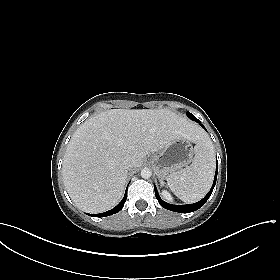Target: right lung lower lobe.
<instances>
[{
  "instance_id": "right-lung-lower-lobe-1",
  "label": "right lung lower lobe",
  "mask_w": 280,
  "mask_h": 280,
  "mask_svg": "<svg viewBox=\"0 0 280 280\" xmlns=\"http://www.w3.org/2000/svg\"><path fill=\"white\" fill-rule=\"evenodd\" d=\"M126 199H127V190H126V193H125L124 198L122 199V201L116 207H114L113 209H111V210H109L107 212H104V213L97 214V215H94V214H88V215L95 216V217H106V216H110L112 214H115V213L119 212L123 208Z\"/></svg>"
}]
</instances>
